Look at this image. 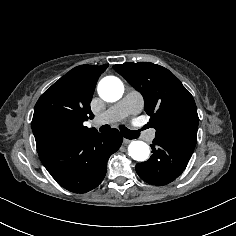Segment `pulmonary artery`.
Wrapping results in <instances>:
<instances>
[{
	"label": "pulmonary artery",
	"mask_w": 236,
	"mask_h": 236,
	"mask_svg": "<svg viewBox=\"0 0 236 236\" xmlns=\"http://www.w3.org/2000/svg\"><path fill=\"white\" fill-rule=\"evenodd\" d=\"M120 108V105L115 107L112 111L115 112ZM126 117V114H120L117 118L116 121H120ZM155 130H152L150 133V139L153 140L155 138Z\"/></svg>",
	"instance_id": "obj_1"
}]
</instances>
